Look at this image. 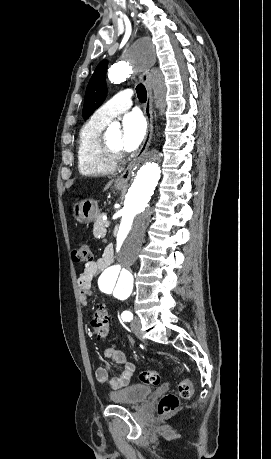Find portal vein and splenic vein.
Masks as SVG:
<instances>
[{
    "label": "portal vein and splenic vein",
    "instance_id": "obj_1",
    "mask_svg": "<svg viewBox=\"0 0 271 459\" xmlns=\"http://www.w3.org/2000/svg\"><path fill=\"white\" fill-rule=\"evenodd\" d=\"M109 223H110V222L107 221V222L105 223V226H104V227H105V228H109Z\"/></svg>",
    "mask_w": 271,
    "mask_h": 459
}]
</instances>
